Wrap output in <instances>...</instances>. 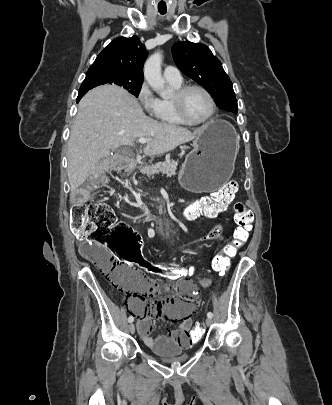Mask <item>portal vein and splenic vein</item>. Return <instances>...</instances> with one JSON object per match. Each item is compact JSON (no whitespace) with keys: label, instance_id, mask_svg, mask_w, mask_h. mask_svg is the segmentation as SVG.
Instances as JSON below:
<instances>
[{"label":"portal vein and splenic vein","instance_id":"18ae733b","mask_svg":"<svg viewBox=\"0 0 332 405\" xmlns=\"http://www.w3.org/2000/svg\"><path fill=\"white\" fill-rule=\"evenodd\" d=\"M138 142H139L140 144H145V143L148 142V139H146V138H139V139H138Z\"/></svg>","mask_w":332,"mask_h":405}]
</instances>
